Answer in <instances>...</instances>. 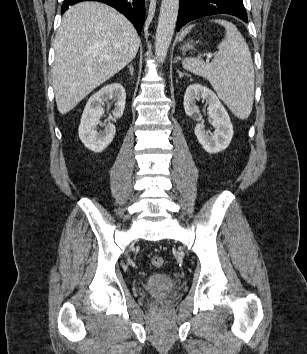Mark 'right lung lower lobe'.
<instances>
[{"instance_id": "obj_1", "label": "right lung lower lobe", "mask_w": 307, "mask_h": 354, "mask_svg": "<svg viewBox=\"0 0 307 354\" xmlns=\"http://www.w3.org/2000/svg\"><path fill=\"white\" fill-rule=\"evenodd\" d=\"M82 1H100L112 6L125 15L140 34L145 17L144 0H65L61 8V13H64L70 5Z\"/></svg>"}]
</instances>
